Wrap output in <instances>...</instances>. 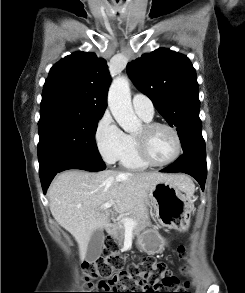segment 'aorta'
<instances>
[{
	"label": "aorta",
	"mask_w": 245,
	"mask_h": 293,
	"mask_svg": "<svg viewBox=\"0 0 245 293\" xmlns=\"http://www.w3.org/2000/svg\"><path fill=\"white\" fill-rule=\"evenodd\" d=\"M108 106L125 132L133 133L138 130L141 122L133 111L129 81L125 77L113 80L108 92Z\"/></svg>",
	"instance_id": "762f6f07"
}]
</instances>
